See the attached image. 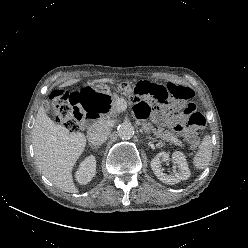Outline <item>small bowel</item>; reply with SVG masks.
Segmentation results:
<instances>
[{
	"label": "small bowel",
	"instance_id": "1",
	"mask_svg": "<svg viewBox=\"0 0 248 248\" xmlns=\"http://www.w3.org/2000/svg\"><path fill=\"white\" fill-rule=\"evenodd\" d=\"M135 114L140 119L152 117L155 123L167 125L176 132L188 137L189 128L181 121L178 114H164L152 107L148 102H143L135 106Z\"/></svg>",
	"mask_w": 248,
	"mask_h": 248
}]
</instances>
